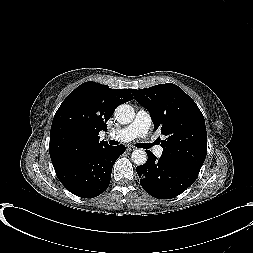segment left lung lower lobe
I'll return each instance as SVG.
<instances>
[{"mask_svg": "<svg viewBox=\"0 0 253 253\" xmlns=\"http://www.w3.org/2000/svg\"><path fill=\"white\" fill-rule=\"evenodd\" d=\"M147 162L137 166L140 184L151 196L174 198L183 193L197 179L199 169L161 156L158 160L149 150Z\"/></svg>", "mask_w": 253, "mask_h": 253, "instance_id": "0a47b994", "label": "left lung lower lobe"}]
</instances>
